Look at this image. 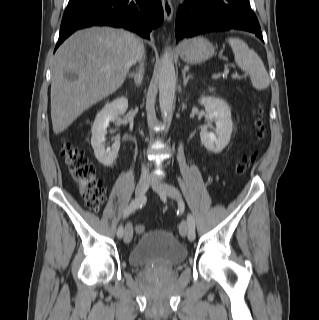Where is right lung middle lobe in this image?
Returning <instances> with one entry per match:
<instances>
[{"label": "right lung middle lobe", "instance_id": "right-lung-middle-lobe-1", "mask_svg": "<svg viewBox=\"0 0 319 320\" xmlns=\"http://www.w3.org/2000/svg\"><path fill=\"white\" fill-rule=\"evenodd\" d=\"M76 1H78V0H69V3H68V4H73V3H75Z\"/></svg>", "mask_w": 319, "mask_h": 320}]
</instances>
